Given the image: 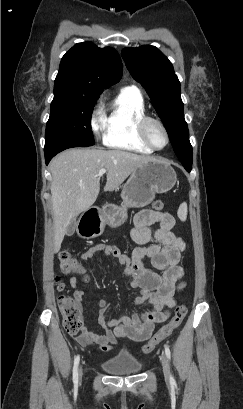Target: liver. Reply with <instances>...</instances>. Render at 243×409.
<instances>
[{"label": "liver", "instance_id": "liver-1", "mask_svg": "<svg viewBox=\"0 0 243 409\" xmlns=\"http://www.w3.org/2000/svg\"><path fill=\"white\" fill-rule=\"evenodd\" d=\"M153 157L122 150L69 149L50 162L54 221V252H59L73 218L89 209L100 192L99 170H107L104 191L116 190L125 179Z\"/></svg>", "mask_w": 243, "mask_h": 409}]
</instances>
